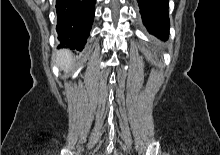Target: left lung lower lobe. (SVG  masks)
<instances>
[{"instance_id":"left-lung-lower-lobe-1","label":"left lung lower lobe","mask_w":220,"mask_h":155,"mask_svg":"<svg viewBox=\"0 0 220 155\" xmlns=\"http://www.w3.org/2000/svg\"><path fill=\"white\" fill-rule=\"evenodd\" d=\"M144 25L149 33L167 40L169 36L168 0H137Z\"/></svg>"}]
</instances>
